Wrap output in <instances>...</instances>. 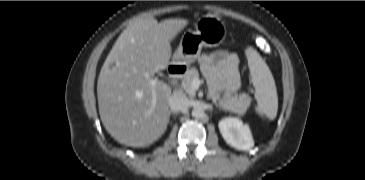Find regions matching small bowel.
Here are the masks:
<instances>
[{"mask_svg": "<svg viewBox=\"0 0 365 180\" xmlns=\"http://www.w3.org/2000/svg\"><path fill=\"white\" fill-rule=\"evenodd\" d=\"M199 61L210 83L211 95L218 96L222 91L234 94L239 90V57L236 54L217 51L202 55Z\"/></svg>", "mask_w": 365, "mask_h": 180, "instance_id": "obj_1", "label": "small bowel"}]
</instances>
